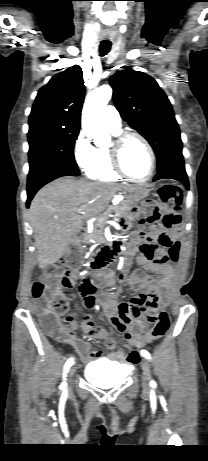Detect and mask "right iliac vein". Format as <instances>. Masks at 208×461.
I'll list each match as a JSON object with an SVG mask.
<instances>
[{
  "label": "right iliac vein",
  "mask_w": 208,
  "mask_h": 461,
  "mask_svg": "<svg viewBox=\"0 0 208 461\" xmlns=\"http://www.w3.org/2000/svg\"><path fill=\"white\" fill-rule=\"evenodd\" d=\"M73 372H74V367H71L68 371V382L69 383L71 382V377L73 375Z\"/></svg>",
  "instance_id": "right-iliac-vein-1"
}]
</instances>
